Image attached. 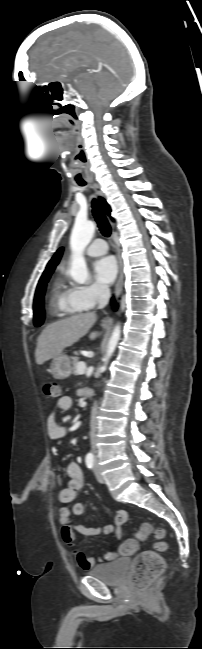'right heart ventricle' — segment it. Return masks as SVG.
<instances>
[{"mask_svg":"<svg viewBox=\"0 0 202 649\" xmlns=\"http://www.w3.org/2000/svg\"><path fill=\"white\" fill-rule=\"evenodd\" d=\"M75 289L68 284L62 273L57 274L51 284L49 306L57 316H70L83 310L74 299Z\"/></svg>","mask_w":202,"mask_h":649,"instance_id":"obj_1","label":"right heart ventricle"}]
</instances>
